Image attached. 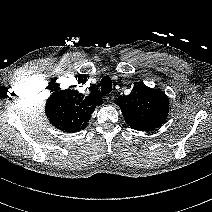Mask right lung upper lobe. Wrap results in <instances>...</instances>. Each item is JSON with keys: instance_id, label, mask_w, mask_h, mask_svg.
<instances>
[{"instance_id": "cb5924a9", "label": "right lung upper lobe", "mask_w": 212, "mask_h": 212, "mask_svg": "<svg viewBox=\"0 0 212 212\" xmlns=\"http://www.w3.org/2000/svg\"><path fill=\"white\" fill-rule=\"evenodd\" d=\"M102 103L96 93L85 96L77 90H62L47 100L46 116L57 129L74 133L87 127L96 106Z\"/></svg>"}]
</instances>
